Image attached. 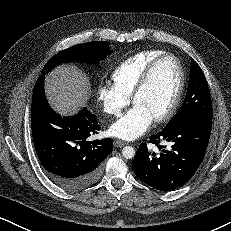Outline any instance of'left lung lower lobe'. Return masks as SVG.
I'll list each match as a JSON object with an SVG mask.
<instances>
[{"label":"left lung lower lobe","mask_w":231,"mask_h":231,"mask_svg":"<svg viewBox=\"0 0 231 231\" xmlns=\"http://www.w3.org/2000/svg\"><path fill=\"white\" fill-rule=\"evenodd\" d=\"M212 120L190 118L150 137L159 151L142 143L132 168L145 184L161 191L177 189L195 174L206 153Z\"/></svg>","instance_id":"obj_1"}]
</instances>
